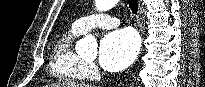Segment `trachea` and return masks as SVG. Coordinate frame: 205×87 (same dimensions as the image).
I'll use <instances>...</instances> for the list:
<instances>
[{
    "label": "trachea",
    "mask_w": 205,
    "mask_h": 87,
    "mask_svg": "<svg viewBox=\"0 0 205 87\" xmlns=\"http://www.w3.org/2000/svg\"><path fill=\"white\" fill-rule=\"evenodd\" d=\"M129 8L134 14H137L138 2L137 0H128Z\"/></svg>",
    "instance_id": "1"
}]
</instances>
